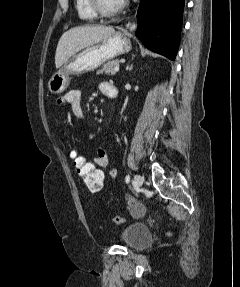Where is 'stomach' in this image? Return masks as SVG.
Here are the masks:
<instances>
[{
  "label": "stomach",
  "instance_id": "stomach-1",
  "mask_svg": "<svg viewBox=\"0 0 240 287\" xmlns=\"http://www.w3.org/2000/svg\"><path fill=\"white\" fill-rule=\"evenodd\" d=\"M131 50L130 39L125 32L117 31L96 45L84 49L52 75L48 89L52 94L62 93L70 83L71 74L93 71L105 61Z\"/></svg>",
  "mask_w": 240,
  "mask_h": 287
}]
</instances>
